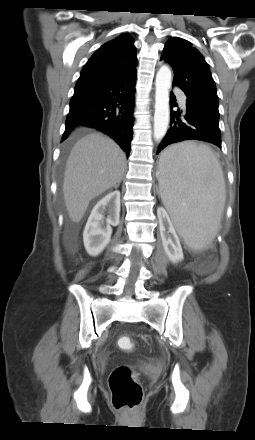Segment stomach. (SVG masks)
Returning <instances> with one entry per match:
<instances>
[{"label": "stomach", "instance_id": "0dacf381", "mask_svg": "<svg viewBox=\"0 0 255 440\" xmlns=\"http://www.w3.org/2000/svg\"><path fill=\"white\" fill-rule=\"evenodd\" d=\"M163 157L161 156V158H160V162H159V165L162 167L163 166Z\"/></svg>", "mask_w": 255, "mask_h": 440}]
</instances>
